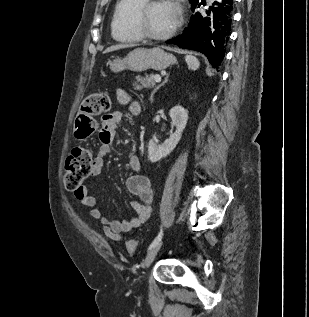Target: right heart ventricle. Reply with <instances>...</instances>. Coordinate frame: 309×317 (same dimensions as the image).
<instances>
[{"label": "right heart ventricle", "mask_w": 309, "mask_h": 317, "mask_svg": "<svg viewBox=\"0 0 309 317\" xmlns=\"http://www.w3.org/2000/svg\"><path fill=\"white\" fill-rule=\"evenodd\" d=\"M145 0H119L111 21L112 37L119 42H137L142 39L135 27V15Z\"/></svg>", "instance_id": "1"}]
</instances>
